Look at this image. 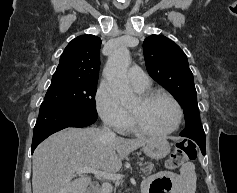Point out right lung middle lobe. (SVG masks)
Here are the masks:
<instances>
[{"label": "right lung middle lobe", "instance_id": "right-lung-middle-lobe-1", "mask_svg": "<svg viewBox=\"0 0 237 193\" xmlns=\"http://www.w3.org/2000/svg\"><path fill=\"white\" fill-rule=\"evenodd\" d=\"M97 81L52 77L41 107L62 109L78 115L97 116Z\"/></svg>", "mask_w": 237, "mask_h": 193}]
</instances>
